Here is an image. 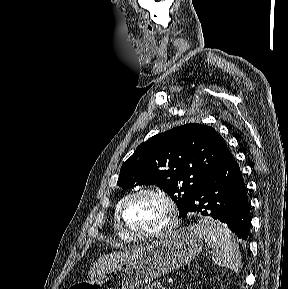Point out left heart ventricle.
I'll return each instance as SVG.
<instances>
[{
    "mask_svg": "<svg viewBox=\"0 0 288 289\" xmlns=\"http://www.w3.org/2000/svg\"><path fill=\"white\" fill-rule=\"evenodd\" d=\"M168 208L159 197L145 194L135 199L125 212V222L140 233L155 232L168 221Z\"/></svg>",
    "mask_w": 288,
    "mask_h": 289,
    "instance_id": "1",
    "label": "left heart ventricle"
}]
</instances>
